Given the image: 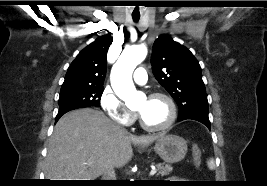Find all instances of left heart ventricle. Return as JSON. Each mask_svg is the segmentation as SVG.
I'll return each mask as SVG.
<instances>
[{
	"instance_id": "left-heart-ventricle-1",
	"label": "left heart ventricle",
	"mask_w": 267,
	"mask_h": 186,
	"mask_svg": "<svg viewBox=\"0 0 267 186\" xmlns=\"http://www.w3.org/2000/svg\"><path fill=\"white\" fill-rule=\"evenodd\" d=\"M149 126H161L169 117V106L162 98H143L135 109Z\"/></svg>"
}]
</instances>
